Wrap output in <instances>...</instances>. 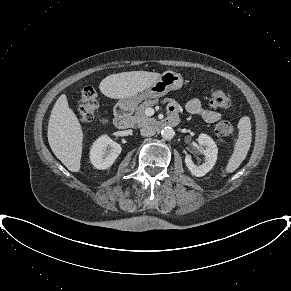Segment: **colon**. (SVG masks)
Segmentation results:
<instances>
[{"label":"colon","instance_id":"obj_1","mask_svg":"<svg viewBox=\"0 0 291 291\" xmlns=\"http://www.w3.org/2000/svg\"><path fill=\"white\" fill-rule=\"evenodd\" d=\"M210 106L214 109H224L230 105L228 95L222 89L212 91ZM99 102L94 88L87 85L83 88L77 108V116L82 122H89L94 118ZM234 132V125L229 120H222L215 126V134L220 138L229 137Z\"/></svg>","mask_w":291,"mask_h":291}]
</instances>
